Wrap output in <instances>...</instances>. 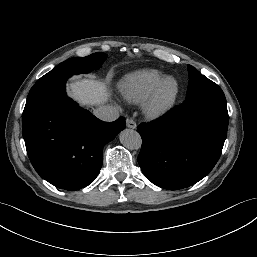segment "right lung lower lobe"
I'll return each instance as SVG.
<instances>
[{
  "mask_svg": "<svg viewBox=\"0 0 257 257\" xmlns=\"http://www.w3.org/2000/svg\"><path fill=\"white\" fill-rule=\"evenodd\" d=\"M63 76L31 88L22 115L23 138L37 173L52 185L78 190L94 181L106 143L125 128L124 117L103 122L66 96Z\"/></svg>",
  "mask_w": 257,
  "mask_h": 257,
  "instance_id": "1",
  "label": "right lung lower lobe"
}]
</instances>
